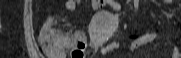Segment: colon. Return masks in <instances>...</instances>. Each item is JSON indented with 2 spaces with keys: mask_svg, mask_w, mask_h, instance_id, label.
Instances as JSON below:
<instances>
[{
  "mask_svg": "<svg viewBox=\"0 0 181 58\" xmlns=\"http://www.w3.org/2000/svg\"><path fill=\"white\" fill-rule=\"evenodd\" d=\"M54 20H49L41 33L43 45L51 51L64 52L71 50V58H83L85 39L77 37H68L59 34L51 29Z\"/></svg>",
  "mask_w": 181,
  "mask_h": 58,
  "instance_id": "colon-1",
  "label": "colon"
}]
</instances>
